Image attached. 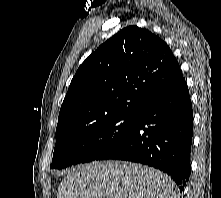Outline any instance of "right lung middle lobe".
<instances>
[{"mask_svg": "<svg viewBox=\"0 0 221 198\" xmlns=\"http://www.w3.org/2000/svg\"><path fill=\"white\" fill-rule=\"evenodd\" d=\"M137 118L138 114L117 113L57 136L50 168L62 169L95 160L125 137L133 129Z\"/></svg>", "mask_w": 221, "mask_h": 198, "instance_id": "dd1d6c3e", "label": "right lung middle lobe"}]
</instances>
